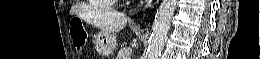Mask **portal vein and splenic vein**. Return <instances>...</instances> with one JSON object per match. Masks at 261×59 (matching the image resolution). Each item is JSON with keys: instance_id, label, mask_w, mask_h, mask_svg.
<instances>
[{"instance_id": "obj_1", "label": "portal vein and splenic vein", "mask_w": 261, "mask_h": 59, "mask_svg": "<svg viewBox=\"0 0 261 59\" xmlns=\"http://www.w3.org/2000/svg\"><path fill=\"white\" fill-rule=\"evenodd\" d=\"M126 59H130V57H126Z\"/></svg>"}]
</instances>
